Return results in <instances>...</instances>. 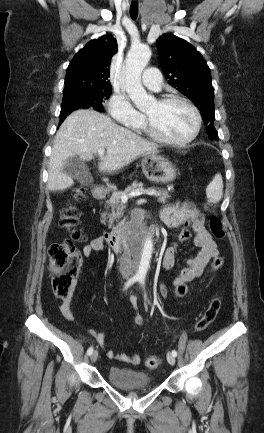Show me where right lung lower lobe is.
Masks as SVG:
<instances>
[{"label":"right lung lower lobe","mask_w":264,"mask_h":433,"mask_svg":"<svg viewBox=\"0 0 264 433\" xmlns=\"http://www.w3.org/2000/svg\"><path fill=\"white\" fill-rule=\"evenodd\" d=\"M63 121H60L59 125L62 123Z\"/></svg>","instance_id":"obj_1"}]
</instances>
